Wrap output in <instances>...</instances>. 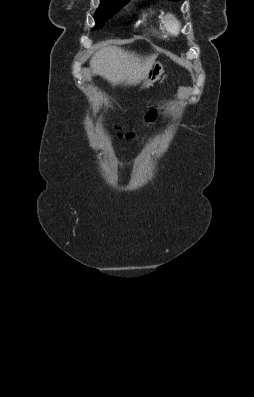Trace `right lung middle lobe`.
Segmentation results:
<instances>
[{"instance_id":"dd1d6c3e","label":"right lung middle lobe","mask_w":254,"mask_h":397,"mask_svg":"<svg viewBox=\"0 0 254 397\" xmlns=\"http://www.w3.org/2000/svg\"><path fill=\"white\" fill-rule=\"evenodd\" d=\"M101 3L94 14L95 30L100 29L124 4L130 0H100Z\"/></svg>"}]
</instances>
